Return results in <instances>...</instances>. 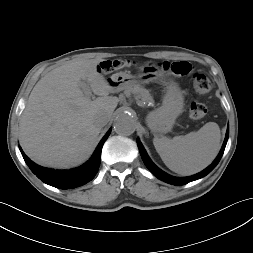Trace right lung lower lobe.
Here are the masks:
<instances>
[{
    "label": "right lung lower lobe",
    "instance_id": "1",
    "mask_svg": "<svg viewBox=\"0 0 253 253\" xmlns=\"http://www.w3.org/2000/svg\"><path fill=\"white\" fill-rule=\"evenodd\" d=\"M111 129L100 141L94 154L84 165L71 170H53L41 167L32 162L19 147L22 156L31 171L44 183L59 189H72L91 181L98 172L101 160V150L104 142L110 135Z\"/></svg>",
    "mask_w": 253,
    "mask_h": 253
}]
</instances>
